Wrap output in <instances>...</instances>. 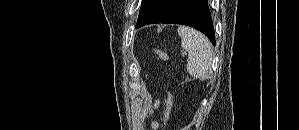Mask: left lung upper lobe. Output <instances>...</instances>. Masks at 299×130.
Wrapping results in <instances>:
<instances>
[{
    "label": "left lung upper lobe",
    "instance_id": "obj_1",
    "mask_svg": "<svg viewBox=\"0 0 299 130\" xmlns=\"http://www.w3.org/2000/svg\"><path fill=\"white\" fill-rule=\"evenodd\" d=\"M150 2H151V0H143L142 1L141 9H140V13H139L137 22L140 21L141 19H143L147 15L149 8H150Z\"/></svg>",
    "mask_w": 299,
    "mask_h": 130
}]
</instances>
